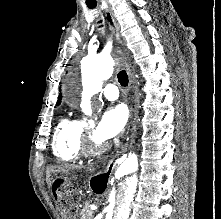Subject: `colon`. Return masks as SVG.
I'll return each mask as SVG.
<instances>
[{
	"label": "colon",
	"instance_id": "1",
	"mask_svg": "<svg viewBox=\"0 0 221 219\" xmlns=\"http://www.w3.org/2000/svg\"><path fill=\"white\" fill-rule=\"evenodd\" d=\"M54 190L65 200L70 201L72 204L71 209L73 207V203L76 200L75 192L64 183H56L54 184Z\"/></svg>",
	"mask_w": 221,
	"mask_h": 219
}]
</instances>
